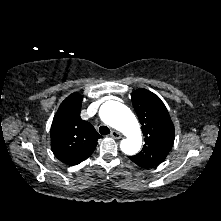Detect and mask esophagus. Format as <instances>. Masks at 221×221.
I'll use <instances>...</instances> for the list:
<instances>
[{
	"label": "esophagus",
	"mask_w": 221,
	"mask_h": 221,
	"mask_svg": "<svg viewBox=\"0 0 221 221\" xmlns=\"http://www.w3.org/2000/svg\"><path fill=\"white\" fill-rule=\"evenodd\" d=\"M110 135L115 139H120L122 137V134L116 130H112Z\"/></svg>",
	"instance_id": "obj_1"
}]
</instances>
